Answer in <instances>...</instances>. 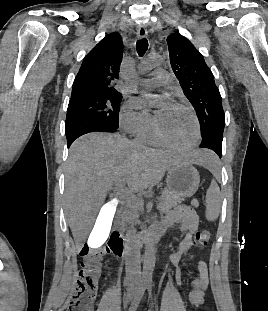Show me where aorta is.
Listing matches in <instances>:
<instances>
[{
	"mask_svg": "<svg viewBox=\"0 0 268 311\" xmlns=\"http://www.w3.org/2000/svg\"><path fill=\"white\" fill-rule=\"evenodd\" d=\"M162 64V58L158 55H151L147 57L139 66L142 72H151L156 67ZM155 246L153 236L148 235V240L145 247V254L143 259V273L145 277H151L155 266Z\"/></svg>",
	"mask_w": 268,
	"mask_h": 311,
	"instance_id": "aorta-1",
	"label": "aorta"
}]
</instances>
